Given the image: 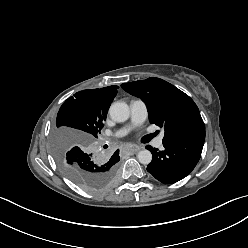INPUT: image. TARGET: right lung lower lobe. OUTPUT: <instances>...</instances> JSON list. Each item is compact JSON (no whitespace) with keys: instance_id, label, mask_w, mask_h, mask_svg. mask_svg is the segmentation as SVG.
<instances>
[{"instance_id":"1","label":"right lung lower lobe","mask_w":248,"mask_h":248,"mask_svg":"<svg viewBox=\"0 0 248 248\" xmlns=\"http://www.w3.org/2000/svg\"><path fill=\"white\" fill-rule=\"evenodd\" d=\"M115 153H117L118 155H117V156H114ZM115 153H114L112 156H113V157H116V158H118V159L120 160L119 151L117 150Z\"/></svg>"}]
</instances>
